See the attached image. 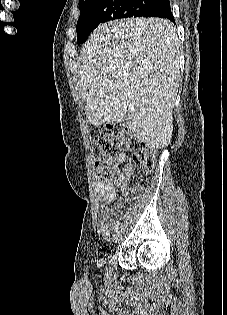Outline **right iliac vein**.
<instances>
[{
	"instance_id": "1",
	"label": "right iliac vein",
	"mask_w": 227,
	"mask_h": 315,
	"mask_svg": "<svg viewBox=\"0 0 227 315\" xmlns=\"http://www.w3.org/2000/svg\"><path fill=\"white\" fill-rule=\"evenodd\" d=\"M120 237H121V232H120V230H118V231H116V233H115V235H114V239H115L116 241H118V240L120 239Z\"/></svg>"
}]
</instances>
